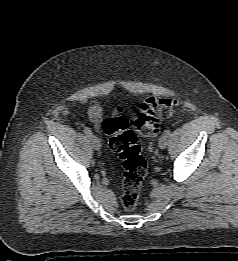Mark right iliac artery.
<instances>
[{"instance_id":"obj_1","label":"right iliac artery","mask_w":238,"mask_h":261,"mask_svg":"<svg viewBox=\"0 0 238 261\" xmlns=\"http://www.w3.org/2000/svg\"><path fill=\"white\" fill-rule=\"evenodd\" d=\"M84 133H85L88 137H90V136L92 135V131H91L90 128H88V127H85V128H84Z\"/></svg>"}]
</instances>
